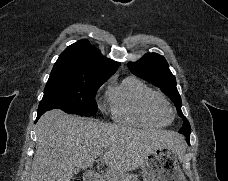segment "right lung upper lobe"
Masks as SVG:
<instances>
[{"instance_id": "obj_1", "label": "right lung upper lobe", "mask_w": 228, "mask_h": 181, "mask_svg": "<svg viewBox=\"0 0 228 181\" xmlns=\"http://www.w3.org/2000/svg\"><path fill=\"white\" fill-rule=\"evenodd\" d=\"M120 63L108 59L88 40L68 46L56 61L49 80L63 82H87L107 80Z\"/></svg>"}]
</instances>
